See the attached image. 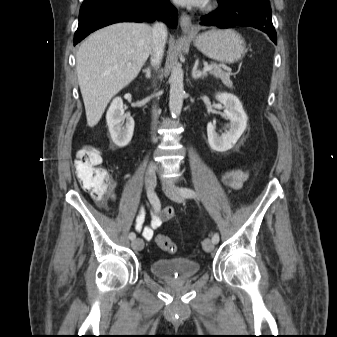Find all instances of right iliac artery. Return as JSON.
Segmentation results:
<instances>
[{
  "label": "right iliac artery",
  "mask_w": 337,
  "mask_h": 337,
  "mask_svg": "<svg viewBox=\"0 0 337 337\" xmlns=\"http://www.w3.org/2000/svg\"><path fill=\"white\" fill-rule=\"evenodd\" d=\"M148 198H149L150 203L154 207V209L159 210L161 205H160V200L157 197V195L152 191H148ZM135 238H136L135 233L131 232L129 234V239L134 240Z\"/></svg>",
  "instance_id": "1"
}]
</instances>
